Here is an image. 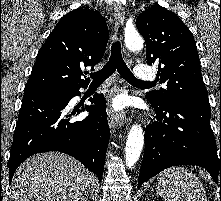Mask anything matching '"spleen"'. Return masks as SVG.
Returning <instances> with one entry per match:
<instances>
[{
	"label": "spleen",
	"mask_w": 221,
	"mask_h": 201,
	"mask_svg": "<svg viewBox=\"0 0 221 201\" xmlns=\"http://www.w3.org/2000/svg\"><path fill=\"white\" fill-rule=\"evenodd\" d=\"M157 193L165 201H207L202 183L181 166L168 168L158 175Z\"/></svg>",
	"instance_id": "3e777b00"
}]
</instances>
